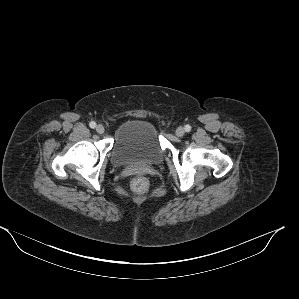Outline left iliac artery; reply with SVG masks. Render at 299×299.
Masks as SVG:
<instances>
[{"mask_svg": "<svg viewBox=\"0 0 299 299\" xmlns=\"http://www.w3.org/2000/svg\"><path fill=\"white\" fill-rule=\"evenodd\" d=\"M190 130H191L190 125H186V126H185V131H186V132H189Z\"/></svg>", "mask_w": 299, "mask_h": 299, "instance_id": "44dca946", "label": "left iliac artery"}]
</instances>
